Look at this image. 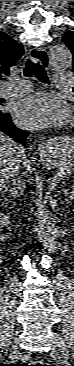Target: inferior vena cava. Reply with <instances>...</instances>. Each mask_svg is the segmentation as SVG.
I'll list each match as a JSON object with an SVG mask.
<instances>
[{
	"mask_svg": "<svg viewBox=\"0 0 74 366\" xmlns=\"http://www.w3.org/2000/svg\"><path fill=\"white\" fill-rule=\"evenodd\" d=\"M23 187H24V185H23V183H21V188H22V191H23Z\"/></svg>",
	"mask_w": 74,
	"mask_h": 366,
	"instance_id": "obj_1",
	"label": "inferior vena cava"
}]
</instances>
